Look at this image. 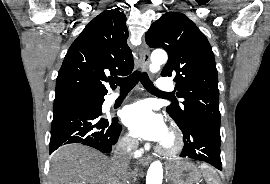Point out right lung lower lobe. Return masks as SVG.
I'll return each mask as SVG.
<instances>
[{"mask_svg":"<svg viewBox=\"0 0 270 184\" xmlns=\"http://www.w3.org/2000/svg\"><path fill=\"white\" fill-rule=\"evenodd\" d=\"M95 99H99L98 102ZM103 102L104 95H87L54 102L50 154L70 143H80L102 153H110L122 126L116 117H101Z\"/></svg>","mask_w":270,"mask_h":184,"instance_id":"obj_1","label":"right lung lower lobe"}]
</instances>
